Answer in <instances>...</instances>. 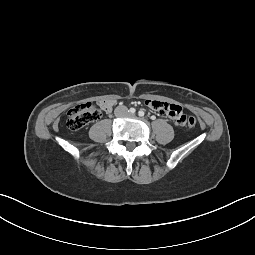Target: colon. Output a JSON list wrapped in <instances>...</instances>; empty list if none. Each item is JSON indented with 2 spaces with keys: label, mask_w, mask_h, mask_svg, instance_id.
Masks as SVG:
<instances>
[{
  "label": "colon",
  "mask_w": 255,
  "mask_h": 255,
  "mask_svg": "<svg viewBox=\"0 0 255 255\" xmlns=\"http://www.w3.org/2000/svg\"><path fill=\"white\" fill-rule=\"evenodd\" d=\"M185 114V113H184ZM101 117L100 108L91 102L80 103L72 107L68 112L67 126L71 130H79L87 124L98 120ZM187 126L193 127L196 124L194 116H189Z\"/></svg>",
  "instance_id": "1"
}]
</instances>
